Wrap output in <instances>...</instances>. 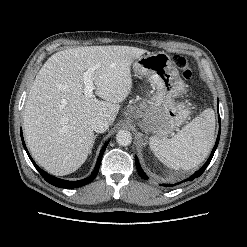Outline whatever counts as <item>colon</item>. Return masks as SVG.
<instances>
[{"mask_svg":"<svg viewBox=\"0 0 247 247\" xmlns=\"http://www.w3.org/2000/svg\"><path fill=\"white\" fill-rule=\"evenodd\" d=\"M176 65L182 71V75L185 79H190L193 76L194 69L190 66L186 59L178 57L176 59Z\"/></svg>","mask_w":247,"mask_h":247,"instance_id":"1","label":"colon"}]
</instances>
